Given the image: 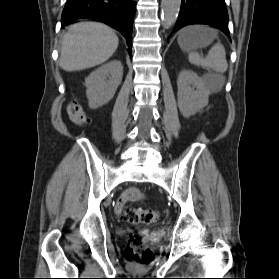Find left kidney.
Masks as SVG:
<instances>
[{
	"label": "left kidney",
	"mask_w": 279,
	"mask_h": 279,
	"mask_svg": "<svg viewBox=\"0 0 279 279\" xmlns=\"http://www.w3.org/2000/svg\"><path fill=\"white\" fill-rule=\"evenodd\" d=\"M177 87L178 107L184 117L195 115L208 105L210 88L193 71L182 70L177 79Z\"/></svg>",
	"instance_id": "5707ae66"
}]
</instances>
